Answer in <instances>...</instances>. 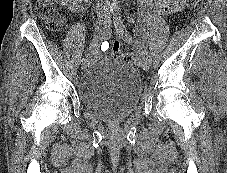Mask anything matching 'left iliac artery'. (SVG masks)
<instances>
[{
	"instance_id": "obj_1",
	"label": "left iliac artery",
	"mask_w": 227,
	"mask_h": 173,
	"mask_svg": "<svg viewBox=\"0 0 227 173\" xmlns=\"http://www.w3.org/2000/svg\"><path fill=\"white\" fill-rule=\"evenodd\" d=\"M113 21H114V25H115L117 32L118 33L124 32V39H125L126 42H128L132 45H135L137 47H140V48H144V49L146 48L145 40H143V41L134 40L132 38V36L127 32V30L125 29V26L123 24V21L121 19V15L118 11L114 14ZM147 57H149L151 59L150 55H147Z\"/></svg>"
}]
</instances>
